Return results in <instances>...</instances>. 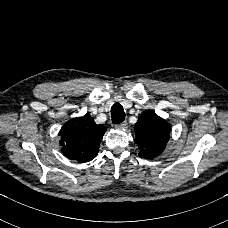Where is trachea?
Wrapping results in <instances>:
<instances>
[{"instance_id": "3493384b", "label": "trachea", "mask_w": 228, "mask_h": 228, "mask_svg": "<svg viewBox=\"0 0 228 228\" xmlns=\"http://www.w3.org/2000/svg\"><path fill=\"white\" fill-rule=\"evenodd\" d=\"M111 118L115 124H119L125 120V112L121 104L116 103L112 106Z\"/></svg>"}]
</instances>
